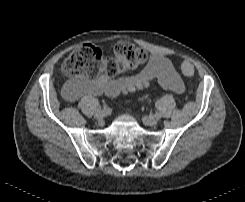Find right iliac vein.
<instances>
[{"label":"right iliac vein","instance_id":"1","mask_svg":"<svg viewBox=\"0 0 245 202\" xmlns=\"http://www.w3.org/2000/svg\"><path fill=\"white\" fill-rule=\"evenodd\" d=\"M105 115H107V113H106V111H104V110H96L95 111V113H94V117L96 118V119H101V118H103Z\"/></svg>","mask_w":245,"mask_h":202}]
</instances>
